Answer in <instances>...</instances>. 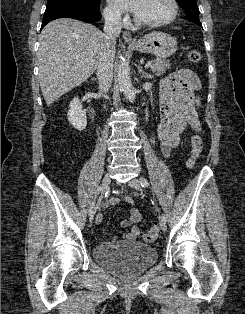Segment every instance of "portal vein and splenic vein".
Segmentation results:
<instances>
[{
	"instance_id": "18ae733b",
	"label": "portal vein and splenic vein",
	"mask_w": 245,
	"mask_h": 314,
	"mask_svg": "<svg viewBox=\"0 0 245 314\" xmlns=\"http://www.w3.org/2000/svg\"><path fill=\"white\" fill-rule=\"evenodd\" d=\"M151 65H152V62H148V63L145 65V68H149Z\"/></svg>"
}]
</instances>
